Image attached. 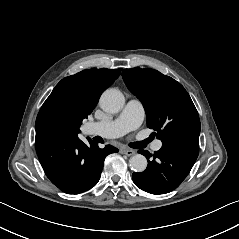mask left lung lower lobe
Returning <instances> with one entry per match:
<instances>
[{
	"label": "left lung lower lobe",
	"instance_id": "obj_1",
	"mask_svg": "<svg viewBox=\"0 0 239 239\" xmlns=\"http://www.w3.org/2000/svg\"><path fill=\"white\" fill-rule=\"evenodd\" d=\"M139 153L147 158L148 166L145 171L132 174L135 185L151 194H165L177 188L189 174L198 157L199 140L175 139L163 142L154 155L145 150Z\"/></svg>",
	"mask_w": 239,
	"mask_h": 239
}]
</instances>
